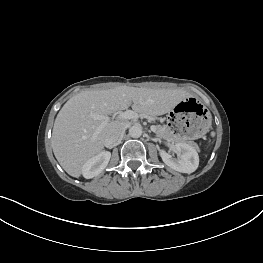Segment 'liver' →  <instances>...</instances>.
Wrapping results in <instances>:
<instances>
[{
  "label": "liver",
  "mask_w": 263,
  "mask_h": 263,
  "mask_svg": "<svg viewBox=\"0 0 263 263\" xmlns=\"http://www.w3.org/2000/svg\"><path fill=\"white\" fill-rule=\"evenodd\" d=\"M187 97L182 89L120 86L82 91L64 104L55 119L51 142L54 155L70 176L78 178L86 161L102 151L108 134L125 125L123 121H109L96 133L103 120H95L90 114L107 116L133 103L136 113L163 115Z\"/></svg>",
  "instance_id": "liver-1"
}]
</instances>
